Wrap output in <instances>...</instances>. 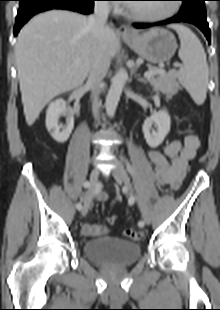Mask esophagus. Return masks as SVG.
I'll return each mask as SVG.
<instances>
[{
	"instance_id": "esophagus-1",
	"label": "esophagus",
	"mask_w": 220,
	"mask_h": 310,
	"mask_svg": "<svg viewBox=\"0 0 220 310\" xmlns=\"http://www.w3.org/2000/svg\"><path fill=\"white\" fill-rule=\"evenodd\" d=\"M118 33L121 36H131L133 35V30L125 24H121L118 28Z\"/></svg>"
}]
</instances>
